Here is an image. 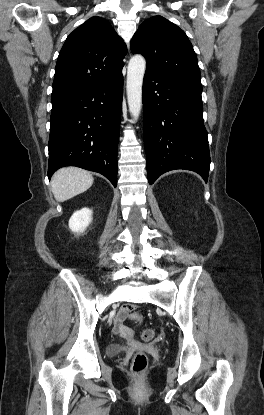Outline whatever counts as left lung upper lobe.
<instances>
[{"instance_id": "1", "label": "left lung upper lobe", "mask_w": 264, "mask_h": 415, "mask_svg": "<svg viewBox=\"0 0 264 415\" xmlns=\"http://www.w3.org/2000/svg\"><path fill=\"white\" fill-rule=\"evenodd\" d=\"M131 51L146 58L148 72L201 83L197 56L187 35L162 16H153L140 25L131 40Z\"/></svg>"}]
</instances>
